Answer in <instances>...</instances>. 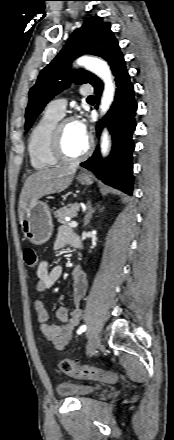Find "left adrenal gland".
Segmentation results:
<instances>
[{"label":"left adrenal gland","instance_id":"obj_1","mask_svg":"<svg viewBox=\"0 0 174 440\" xmlns=\"http://www.w3.org/2000/svg\"><path fill=\"white\" fill-rule=\"evenodd\" d=\"M94 212V209L91 207V205L88 206V211L85 215V219H84V226L88 225V223L90 222V219L92 217V213Z\"/></svg>","mask_w":174,"mask_h":440}]
</instances>
